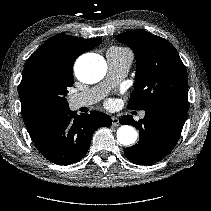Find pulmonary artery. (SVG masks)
Masks as SVG:
<instances>
[{"mask_svg": "<svg viewBox=\"0 0 211 211\" xmlns=\"http://www.w3.org/2000/svg\"><path fill=\"white\" fill-rule=\"evenodd\" d=\"M106 59L108 63L106 80L96 87L70 96L68 102L71 109L90 106L99 101L113 84L127 75L132 64L133 56L128 50L120 51L110 48L106 53ZM144 115L145 113L142 112L141 117Z\"/></svg>", "mask_w": 211, "mask_h": 211, "instance_id": "1", "label": "pulmonary artery"}]
</instances>
